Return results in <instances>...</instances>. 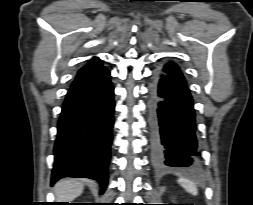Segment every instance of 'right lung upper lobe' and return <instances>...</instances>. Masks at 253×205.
Listing matches in <instances>:
<instances>
[{
	"instance_id": "1",
	"label": "right lung upper lobe",
	"mask_w": 253,
	"mask_h": 205,
	"mask_svg": "<svg viewBox=\"0 0 253 205\" xmlns=\"http://www.w3.org/2000/svg\"><path fill=\"white\" fill-rule=\"evenodd\" d=\"M96 60H98V58H93V59H91V60L88 62V64H89V63H92V62H94V61H96Z\"/></svg>"
}]
</instances>
